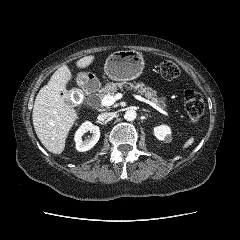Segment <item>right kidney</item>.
<instances>
[{"mask_svg": "<svg viewBox=\"0 0 240 240\" xmlns=\"http://www.w3.org/2000/svg\"><path fill=\"white\" fill-rule=\"evenodd\" d=\"M90 131L93 135L91 139L82 140V136ZM100 138V129L90 121L84 122L75 133L76 149L79 152L88 151L95 146Z\"/></svg>", "mask_w": 240, "mask_h": 240, "instance_id": "right-kidney-1", "label": "right kidney"}]
</instances>
